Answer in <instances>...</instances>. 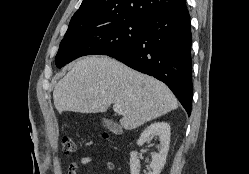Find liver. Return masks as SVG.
Instances as JSON below:
<instances>
[{
    "mask_svg": "<svg viewBox=\"0 0 249 174\" xmlns=\"http://www.w3.org/2000/svg\"><path fill=\"white\" fill-rule=\"evenodd\" d=\"M53 99L60 113L105 112L111 104H119L124 111L120 124L125 130L178 107L176 97L164 83L106 56L77 61L55 86Z\"/></svg>",
    "mask_w": 249,
    "mask_h": 174,
    "instance_id": "6515ba94",
    "label": "liver"
}]
</instances>
